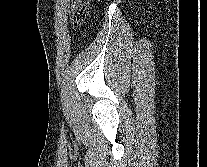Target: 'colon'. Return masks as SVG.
<instances>
[{
	"label": "colon",
	"mask_w": 207,
	"mask_h": 167,
	"mask_svg": "<svg viewBox=\"0 0 207 167\" xmlns=\"http://www.w3.org/2000/svg\"><path fill=\"white\" fill-rule=\"evenodd\" d=\"M89 1L90 0H75V4L71 12V17L73 21L78 22L81 20L86 11Z\"/></svg>",
	"instance_id": "colon-1"
}]
</instances>
